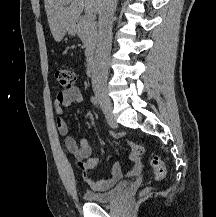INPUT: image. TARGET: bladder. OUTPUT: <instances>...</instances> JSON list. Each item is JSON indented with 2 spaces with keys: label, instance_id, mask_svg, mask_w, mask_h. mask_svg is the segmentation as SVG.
Here are the masks:
<instances>
[{
  "label": "bladder",
  "instance_id": "31cf9c89",
  "mask_svg": "<svg viewBox=\"0 0 216 217\" xmlns=\"http://www.w3.org/2000/svg\"><path fill=\"white\" fill-rule=\"evenodd\" d=\"M125 188V185H119L115 189L105 193L84 190L83 197L90 203L107 204L115 201Z\"/></svg>",
  "mask_w": 216,
  "mask_h": 217
}]
</instances>
